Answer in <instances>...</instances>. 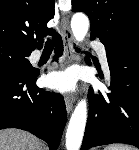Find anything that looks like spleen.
Masks as SVG:
<instances>
[{
	"label": "spleen",
	"instance_id": "3e777b00",
	"mask_svg": "<svg viewBox=\"0 0 139 150\" xmlns=\"http://www.w3.org/2000/svg\"><path fill=\"white\" fill-rule=\"evenodd\" d=\"M104 150H135V149L125 145H112L107 146L106 148H104Z\"/></svg>",
	"mask_w": 139,
	"mask_h": 150
}]
</instances>
